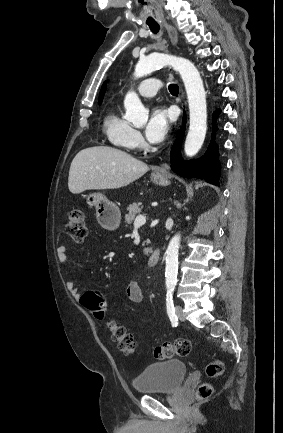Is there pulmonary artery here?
<instances>
[{"mask_svg":"<svg viewBox=\"0 0 283 433\" xmlns=\"http://www.w3.org/2000/svg\"><path fill=\"white\" fill-rule=\"evenodd\" d=\"M164 80L161 78H148L143 80L137 87V92L145 97H154L163 89Z\"/></svg>","mask_w":283,"mask_h":433,"instance_id":"obj_1","label":"pulmonary artery"}]
</instances>
